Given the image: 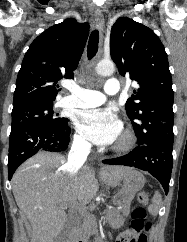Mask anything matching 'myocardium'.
<instances>
[{
	"label": "myocardium",
	"instance_id": "obj_1",
	"mask_svg": "<svg viewBox=\"0 0 187 242\" xmlns=\"http://www.w3.org/2000/svg\"><path fill=\"white\" fill-rule=\"evenodd\" d=\"M137 142V137L135 131L132 127L126 126L122 131V139L120 142L116 143L112 149L118 153H126L131 151Z\"/></svg>",
	"mask_w": 187,
	"mask_h": 242
}]
</instances>
